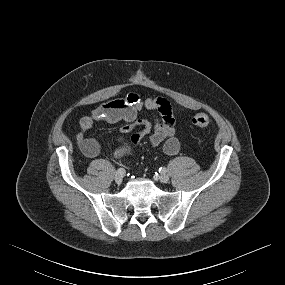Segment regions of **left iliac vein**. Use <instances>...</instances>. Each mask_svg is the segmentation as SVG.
Returning <instances> with one entry per match:
<instances>
[{"instance_id": "1", "label": "left iliac vein", "mask_w": 285, "mask_h": 285, "mask_svg": "<svg viewBox=\"0 0 285 285\" xmlns=\"http://www.w3.org/2000/svg\"><path fill=\"white\" fill-rule=\"evenodd\" d=\"M159 180L162 182V183H167L169 181V176L165 173L163 174H160L159 176Z\"/></svg>"}]
</instances>
